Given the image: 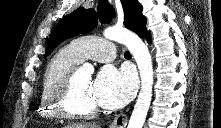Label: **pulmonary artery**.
<instances>
[{
	"mask_svg": "<svg viewBox=\"0 0 221 128\" xmlns=\"http://www.w3.org/2000/svg\"><path fill=\"white\" fill-rule=\"evenodd\" d=\"M70 45L79 52L81 59H94L109 62L117 56V46L113 41L102 40L96 36H82L71 41Z\"/></svg>",
	"mask_w": 221,
	"mask_h": 128,
	"instance_id": "e3ab8cb5",
	"label": "pulmonary artery"
}]
</instances>
